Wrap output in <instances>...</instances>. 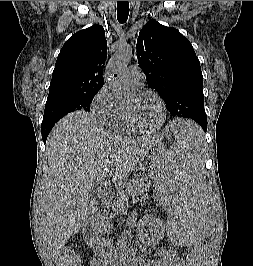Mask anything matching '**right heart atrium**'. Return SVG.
I'll list each match as a JSON object with an SVG mask.
<instances>
[{
    "instance_id": "d8ad5b80",
    "label": "right heart atrium",
    "mask_w": 253,
    "mask_h": 266,
    "mask_svg": "<svg viewBox=\"0 0 253 266\" xmlns=\"http://www.w3.org/2000/svg\"><path fill=\"white\" fill-rule=\"evenodd\" d=\"M90 109L102 124L110 125L117 109V101L107 85H102L95 93L91 101Z\"/></svg>"
}]
</instances>
